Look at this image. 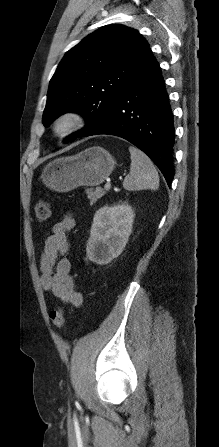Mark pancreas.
<instances>
[{"instance_id": "pancreas-1", "label": "pancreas", "mask_w": 219, "mask_h": 447, "mask_svg": "<svg viewBox=\"0 0 219 447\" xmlns=\"http://www.w3.org/2000/svg\"><path fill=\"white\" fill-rule=\"evenodd\" d=\"M86 194L90 202L96 203L98 199H100L102 196L106 194V190L102 189L101 187H97L95 190L93 189H87Z\"/></svg>"}]
</instances>
